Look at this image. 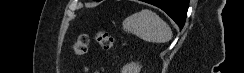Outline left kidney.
I'll use <instances>...</instances> for the list:
<instances>
[{"label": "left kidney", "mask_w": 244, "mask_h": 73, "mask_svg": "<svg viewBox=\"0 0 244 73\" xmlns=\"http://www.w3.org/2000/svg\"><path fill=\"white\" fill-rule=\"evenodd\" d=\"M142 66L139 63L131 62L123 66L121 73H140Z\"/></svg>", "instance_id": "5707ae66"}]
</instances>
